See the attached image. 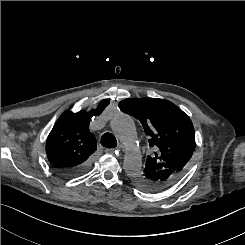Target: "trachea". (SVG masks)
I'll list each match as a JSON object with an SVG mask.
<instances>
[{"mask_svg": "<svg viewBox=\"0 0 245 245\" xmlns=\"http://www.w3.org/2000/svg\"><path fill=\"white\" fill-rule=\"evenodd\" d=\"M101 145L107 148H114L117 146V140L112 133H105L101 137Z\"/></svg>", "mask_w": 245, "mask_h": 245, "instance_id": "3493384b", "label": "trachea"}]
</instances>
